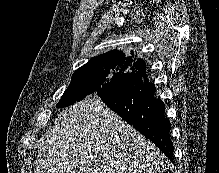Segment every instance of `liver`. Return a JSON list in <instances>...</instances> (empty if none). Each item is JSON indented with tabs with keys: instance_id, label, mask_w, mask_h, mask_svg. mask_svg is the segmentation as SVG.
I'll list each match as a JSON object with an SVG mask.
<instances>
[{
	"instance_id": "obj_1",
	"label": "liver",
	"mask_w": 219,
	"mask_h": 173,
	"mask_svg": "<svg viewBox=\"0 0 219 173\" xmlns=\"http://www.w3.org/2000/svg\"><path fill=\"white\" fill-rule=\"evenodd\" d=\"M165 156L99 98L64 109L46 132L35 173H156Z\"/></svg>"
}]
</instances>
